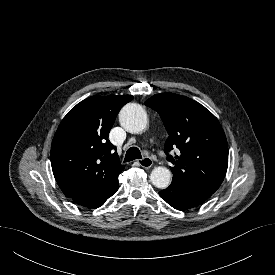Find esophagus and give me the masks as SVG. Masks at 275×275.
<instances>
[{"label": "esophagus", "instance_id": "obj_1", "mask_svg": "<svg viewBox=\"0 0 275 275\" xmlns=\"http://www.w3.org/2000/svg\"><path fill=\"white\" fill-rule=\"evenodd\" d=\"M137 162L141 167L146 168V169L152 167V165H153V161L149 157H144L142 159H139Z\"/></svg>", "mask_w": 275, "mask_h": 275}]
</instances>
